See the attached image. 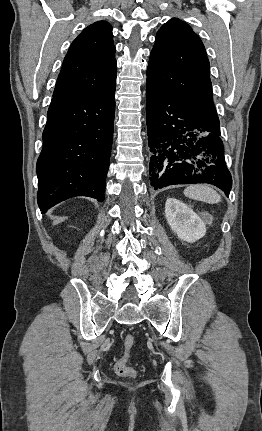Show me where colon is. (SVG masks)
Instances as JSON below:
<instances>
[{"mask_svg":"<svg viewBox=\"0 0 262 431\" xmlns=\"http://www.w3.org/2000/svg\"><path fill=\"white\" fill-rule=\"evenodd\" d=\"M136 343L134 334H127L124 340L125 352L120 356L115 364V372L119 376L133 378L136 376V371L133 367L129 366L128 361L130 358L131 350Z\"/></svg>","mask_w":262,"mask_h":431,"instance_id":"5ec220e1","label":"colon"}]
</instances>
